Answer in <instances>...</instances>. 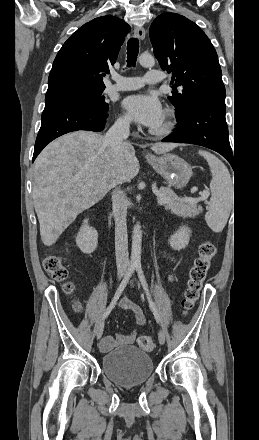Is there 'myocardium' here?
<instances>
[{"label":"myocardium","instance_id":"f54148a6","mask_svg":"<svg viewBox=\"0 0 259 440\" xmlns=\"http://www.w3.org/2000/svg\"><path fill=\"white\" fill-rule=\"evenodd\" d=\"M174 122L171 111H166L161 125L150 129V133L156 136H166L173 130Z\"/></svg>","mask_w":259,"mask_h":440}]
</instances>
